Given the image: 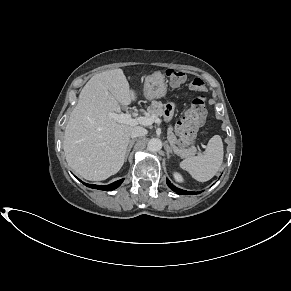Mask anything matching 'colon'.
<instances>
[{
    "instance_id": "obj_1",
    "label": "colon",
    "mask_w": 291,
    "mask_h": 291,
    "mask_svg": "<svg viewBox=\"0 0 291 291\" xmlns=\"http://www.w3.org/2000/svg\"><path fill=\"white\" fill-rule=\"evenodd\" d=\"M167 78L178 85L185 80V74L175 69L166 71ZM201 85L199 79L194 80L193 86ZM206 117L205 95H198L192 102L191 108L187 111L183 121L177 128L180 143L184 146H191L196 140L197 130L204 123Z\"/></svg>"
}]
</instances>
